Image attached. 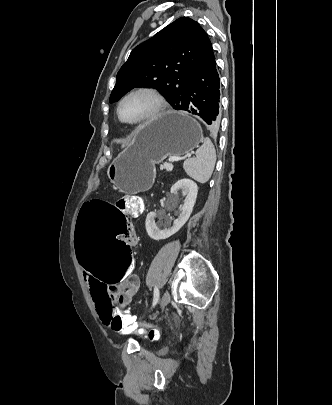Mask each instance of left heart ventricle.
Returning a JSON list of instances; mask_svg holds the SVG:
<instances>
[{"label": "left heart ventricle", "mask_w": 332, "mask_h": 405, "mask_svg": "<svg viewBox=\"0 0 332 405\" xmlns=\"http://www.w3.org/2000/svg\"><path fill=\"white\" fill-rule=\"evenodd\" d=\"M155 107L154 98L146 93L128 97L121 106V115L127 121H135L148 115Z\"/></svg>", "instance_id": "b2bd125f"}]
</instances>
